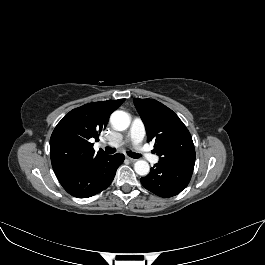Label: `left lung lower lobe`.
I'll return each mask as SVG.
<instances>
[{
	"instance_id": "0a47b994",
	"label": "left lung lower lobe",
	"mask_w": 265,
	"mask_h": 265,
	"mask_svg": "<svg viewBox=\"0 0 265 265\" xmlns=\"http://www.w3.org/2000/svg\"><path fill=\"white\" fill-rule=\"evenodd\" d=\"M194 162L161 163L151 168L150 173L140 179L142 185L154 194L168 198L184 190L191 179Z\"/></svg>"
}]
</instances>
